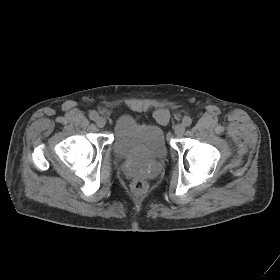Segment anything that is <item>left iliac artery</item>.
Instances as JSON below:
<instances>
[{
  "label": "left iliac artery",
  "instance_id": "left-iliac-artery-1",
  "mask_svg": "<svg viewBox=\"0 0 280 280\" xmlns=\"http://www.w3.org/2000/svg\"><path fill=\"white\" fill-rule=\"evenodd\" d=\"M182 123L184 126L189 127L192 124V119L186 116L183 118Z\"/></svg>",
  "mask_w": 280,
  "mask_h": 280
}]
</instances>
